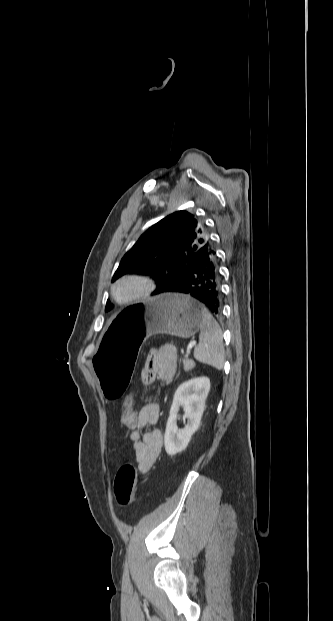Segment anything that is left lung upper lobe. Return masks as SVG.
<instances>
[{
    "mask_svg": "<svg viewBox=\"0 0 333 621\" xmlns=\"http://www.w3.org/2000/svg\"><path fill=\"white\" fill-rule=\"evenodd\" d=\"M205 244L212 245L205 223L187 211L174 212L141 235L122 258L112 282L127 273L150 275L157 284L152 294H160ZM110 309L108 300L105 310Z\"/></svg>",
    "mask_w": 333,
    "mask_h": 621,
    "instance_id": "obj_1",
    "label": "left lung upper lobe"
}]
</instances>
